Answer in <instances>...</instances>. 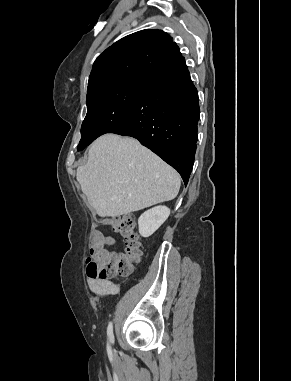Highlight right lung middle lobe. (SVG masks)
Segmentation results:
<instances>
[{
    "instance_id": "right-lung-middle-lobe-1",
    "label": "right lung middle lobe",
    "mask_w": 291,
    "mask_h": 381,
    "mask_svg": "<svg viewBox=\"0 0 291 381\" xmlns=\"http://www.w3.org/2000/svg\"><path fill=\"white\" fill-rule=\"evenodd\" d=\"M142 81L128 80L87 97V115L82 123L78 151L99 136L113 133L126 123Z\"/></svg>"
}]
</instances>
